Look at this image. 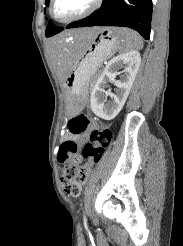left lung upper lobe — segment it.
<instances>
[{"label": "left lung upper lobe", "mask_w": 183, "mask_h": 246, "mask_svg": "<svg viewBox=\"0 0 183 246\" xmlns=\"http://www.w3.org/2000/svg\"><path fill=\"white\" fill-rule=\"evenodd\" d=\"M49 1L50 0H45V4L48 5ZM62 30H63L62 27L56 26L51 20H49L45 35H46V37H50V36H53V35L59 33Z\"/></svg>", "instance_id": "5c2ea615"}]
</instances>
